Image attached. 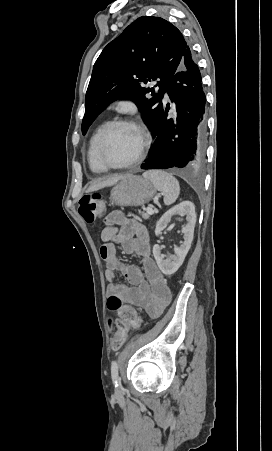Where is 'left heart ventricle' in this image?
<instances>
[{
	"label": "left heart ventricle",
	"instance_id": "left-heart-ventricle-1",
	"mask_svg": "<svg viewBox=\"0 0 272 451\" xmlns=\"http://www.w3.org/2000/svg\"><path fill=\"white\" fill-rule=\"evenodd\" d=\"M134 144V133L124 127H114L108 133L102 156L104 164L109 168L123 165L131 156Z\"/></svg>",
	"mask_w": 272,
	"mask_h": 451
}]
</instances>
